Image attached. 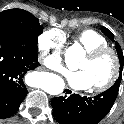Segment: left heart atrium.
Wrapping results in <instances>:
<instances>
[{"label": "left heart atrium", "mask_w": 124, "mask_h": 124, "mask_svg": "<svg viewBox=\"0 0 124 124\" xmlns=\"http://www.w3.org/2000/svg\"><path fill=\"white\" fill-rule=\"evenodd\" d=\"M65 77L68 84L74 89L86 90L91 88L88 73L84 70L67 71Z\"/></svg>", "instance_id": "obj_1"}]
</instances>
